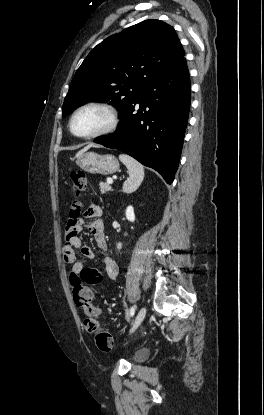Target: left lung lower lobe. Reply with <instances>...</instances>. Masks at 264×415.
<instances>
[{"mask_svg":"<svg viewBox=\"0 0 264 415\" xmlns=\"http://www.w3.org/2000/svg\"><path fill=\"white\" fill-rule=\"evenodd\" d=\"M140 107L135 113V105ZM190 109V76L183 57L165 74L146 85L121 113V124L94 142L118 149L174 180Z\"/></svg>","mask_w":264,"mask_h":415,"instance_id":"left-lung-lower-lobe-1","label":"left lung lower lobe"}]
</instances>
